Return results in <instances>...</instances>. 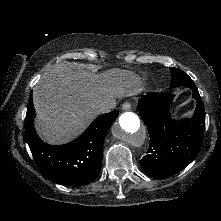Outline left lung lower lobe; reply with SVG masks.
<instances>
[{
    "mask_svg": "<svg viewBox=\"0 0 221 221\" xmlns=\"http://www.w3.org/2000/svg\"><path fill=\"white\" fill-rule=\"evenodd\" d=\"M189 88L197 106L193 117L183 121L171 118V94L151 92L138 101L139 113L150 135L148 154L140 160V165L150 177L173 175L199 153L205 130V110L195 83Z\"/></svg>",
    "mask_w": 221,
    "mask_h": 221,
    "instance_id": "obj_1",
    "label": "left lung lower lobe"
}]
</instances>
